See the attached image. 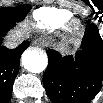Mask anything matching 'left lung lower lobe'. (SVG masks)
Returning <instances> with one entry per match:
<instances>
[{
  "mask_svg": "<svg viewBox=\"0 0 103 103\" xmlns=\"http://www.w3.org/2000/svg\"><path fill=\"white\" fill-rule=\"evenodd\" d=\"M81 50L73 58L47 51L49 63L43 76L53 103H89L103 83V40L95 24L86 29Z\"/></svg>",
  "mask_w": 103,
  "mask_h": 103,
  "instance_id": "obj_1",
  "label": "left lung lower lobe"
}]
</instances>
